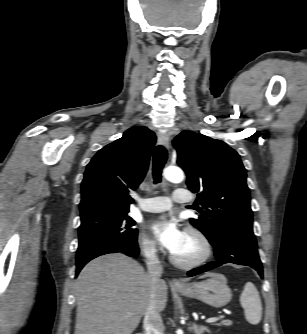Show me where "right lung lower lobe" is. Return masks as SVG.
I'll list each match as a JSON object with an SVG mask.
<instances>
[{
	"label": "right lung lower lobe",
	"mask_w": 307,
	"mask_h": 334,
	"mask_svg": "<svg viewBox=\"0 0 307 334\" xmlns=\"http://www.w3.org/2000/svg\"><path fill=\"white\" fill-rule=\"evenodd\" d=\"M108 253H124L128 256H137L139 253V248L138 245L136 244L133 247H127V248H120V249H115V250H105V251H101L99 253H96L90 257H88L87 259H85L84 261H82L81 263L77 264V269H76V276L78 275V273L80 272V270L83 268V266L89 262L90 260H92L93 258H96L100 255H104V254H108Z\"/></svg>",
	"instance_id": "right-lung-lower-lobe-1"
}]
</instances>
